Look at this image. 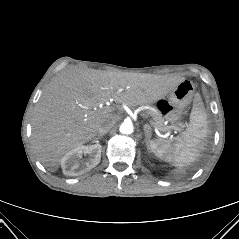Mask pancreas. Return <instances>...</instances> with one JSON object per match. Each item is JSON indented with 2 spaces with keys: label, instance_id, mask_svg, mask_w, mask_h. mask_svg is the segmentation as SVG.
Returning <instances> with one entry per match:
<instances>
[{
  "label": "pancreas",
  "instance_id": "pancreas-1",
  "mask_svg": "<svg viewBox=\"0 0 239 239\" xmlns=\"http://www.w3.org/2000/svg\"><path fill=\"white\" fill-rule=\"evenodd\" d=\"M149 114L153 117L155 124H159V126H161L163 121L161 114H156L155 112L152 111H150Z\"/></svg>",
  "mask_w": 239,
  "mask_h": 239
}]
</instances>
